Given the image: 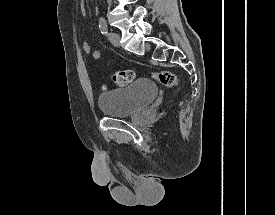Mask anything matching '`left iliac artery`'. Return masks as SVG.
<instances>
[{
	"instance_id": "obj_1",
	"label": "left iliac artery",
	"mask_w": 275,
	"mask_h": 215,
	"mask_svg": "<svg viewBox=\"0 0 275 215\" xmlns=\"http://www.w3.org/2000/svg\"><path fill=\"white\" fill-rule=\"evenodd\" d=\"M99 28L102 34L106 35L108 33L107 24L103 17L99 19Z\"/></svg>"
}]
</instances>
